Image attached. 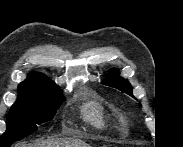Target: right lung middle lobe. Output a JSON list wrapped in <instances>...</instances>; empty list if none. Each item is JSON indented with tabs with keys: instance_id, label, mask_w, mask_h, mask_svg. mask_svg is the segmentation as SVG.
Listing matches in <instances>:
<instances>
[{
	"instance_id": "right-lung-middle-lobe-1",
	"label": "right lung middle lobe",
	"mask_w": 183,
	"mask_h": 147,
	"mask_svg": "<svg viewBox=\"0 0 183 147\" xmlns=\"http://www.w3.org/2000/svg\"><path fill=\"white\" fill-rule=\"evenodd\" d=\"M60 89H21L7 117V129L0 137V146H7L35 132L37 125L51 120L62 101Z\"/></svg>"
}]
</instances>
